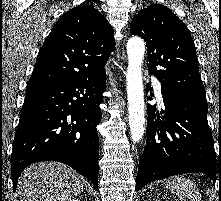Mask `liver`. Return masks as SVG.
<instances>
[{
    "instance_id": "1",
    "label": "liver",
    "mask_w": 221,
    "mask_h": 201,
    "mask_svg": "<svg viewBox=\"0 0 221 201\" xmlns=\"http://www.w3.org/2000/svg\"><path fill=\"white\" fill-rule=\"evenodd\" d=\"M87 181L75 170L58 162H40L20 175L21 201H69L81 193Z\"/></svg>"
}]
</instances>
